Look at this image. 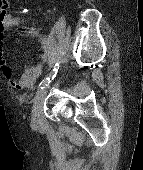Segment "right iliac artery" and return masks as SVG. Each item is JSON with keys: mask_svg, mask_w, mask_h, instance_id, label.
I'll list each match as a JSON object with an SVG mask.
<instances>
[{"mask_svg": "<svg viewBox=\"0 0 143 170\" xmlns=\"http://www.w3.org/2000/svg\"><path fill=\"white\" fill-rule=\"evenodd\" d=\"M58 69H59V64H55L53 70L49 73V75L44 78L40 84H39V88L42 89L44 88L45 86H47V84H49L51 82V80H53L58 72Z\"/></svg>", "mask_w": 143, "mask_h": 170, "instance_id": "right-iliac-artery-1", "label": "right iliac artery"}]
</instances>
